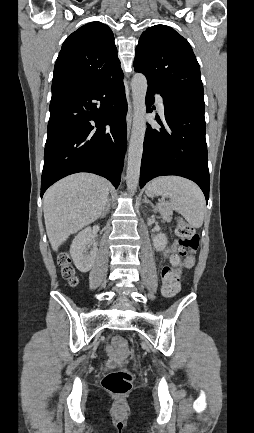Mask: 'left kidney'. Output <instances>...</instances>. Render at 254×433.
Returning <instances> with one entry per match:
<instances>
[{
  "mask_svg": "<svg viewBox=\"0 0 254 433\" xmlns=\"http://www.w3.org/2000/svg\"><path fill=\"white\" fill-rule=\"evenodd\" d=\"M166 244H167V238L165 234L160 233L153 238V246L157 251L163 250Z\"/></svg>",
  "mask_w": 254,
  "mask_h": 433,
  "instance_id": "left-kidney-1",
  "label": "left kidney"
}]
</instances>
